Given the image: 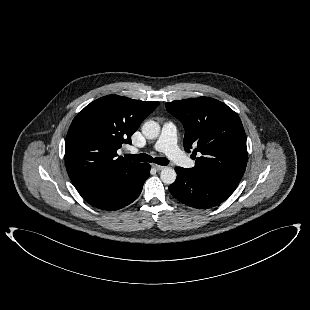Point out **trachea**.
Wrapping results in <instances>:
<instances>
[{
	"label": "trachea",
	"instance_id": "1",
	"mask_svg": "<svg viewBox=\"0 0 310 310\" xmlns=\"http://www.w3.org/2000/svg\"><path fill=\"white\" fill-rule=\"evenodd\" d=\"M125 158L131 161H136V162H154L159 165L166 166L169 164V160L165 157H156L153 158L150 155L147 154H125Z\"/></svg>",
	"mask_w": 310,
	"mask_h": 310
}]
</instances>
